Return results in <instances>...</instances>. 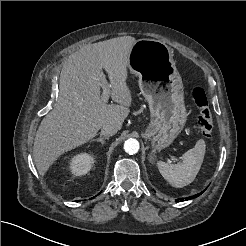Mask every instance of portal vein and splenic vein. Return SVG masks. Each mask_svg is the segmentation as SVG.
<instances>
[{
	"instance_id": "1",
	"label": "portal vein and splenic vein",
	"mask_w": 246,
	"mask_h": 246,
	"mask_svg": "<svg viewBox=\"0 0 246 246\" xmlns=\"http://www.w3.org/2000/svg\"><path fill=\"white\" fill-rule=\"evenodd\" d=\"M102 88H103V92H102L101 100L106 103L109 99L111 85L105 80L103 82Z\"/></svg>"
}]
</instances>
